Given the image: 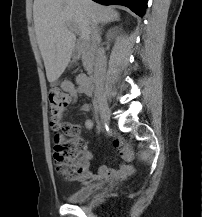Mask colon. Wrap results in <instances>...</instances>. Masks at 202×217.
<instances>
[{
  "label": "colon",
  "instance_id": "colon-1",
  "mask_svg": "<svg viewBox=\"0 0 202 217\" xmlns=\"http://www.w3.org/2000/svg\"><path fill=\"white\" fill-rule=\"evenodd\" d=\"M70 102V95L61 90H51L48 94L51 126L57 131L53 148L57 171L64 179L73 181L83 175L85 141L63 121Z\"/></svg>",
  "mask_w": 202,
  "mask_h": 217
}]
</instances>
